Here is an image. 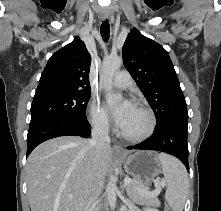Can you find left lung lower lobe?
I'll use <instances>...</instances> for the list:
<instances>
[{"mask_svg": "<svg viewBox=\"0 0 221 211\" xmlns=\"http://www.w3.org/2000/svg\"><path fill=\"white\" fill-rule=\"evenodd\" d=\"M188 119H178L156 128L146 141L128 149L156 150L177 157L189 171L187 146Z\"/></svg>", "mask_w": 221, "mask_h": 211, "instance_id": "obj_1", "label": "left lung lower lobe"}]
</instances>
